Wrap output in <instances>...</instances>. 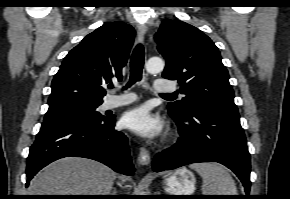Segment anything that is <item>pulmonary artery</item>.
<instances>
[{"instance_id":"pulmonary-artery-1","label":"pulmonary artery","mask_w":290,"mask_h":199,"mask_svg":"<svg viewBox=\"0 0 290 199\" xmlns=\"http://www.w3.org/2000/svg\"><path fill=\"white\" fill-rule=\"evenodd\" d=\"M117 89H119V87H117ZM155 89L159 93H172L176 90V86L173 82L159 79L155 81ZM135 100L136 97L131 94L123 96L110 95L105 99L103 107L105 109L118 108L121 106L128 105Z\"/></svg>"}]
</instances>
